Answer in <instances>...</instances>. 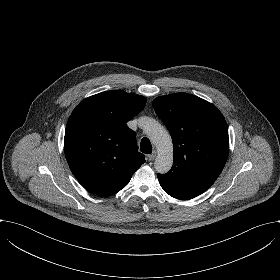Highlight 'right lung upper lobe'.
<instances>
[{"mask_svg":"<svg viewBox=\"0 0 280 280\" xmlns=\"http://www.w3.org/2000/svg\"><path fill=\"white\" fill-rule=\"evenodd\" d=\"M145 104L143 96L106 91L84 99L73 110L65 130V156L89 192L117 193L145 162L137 150L135 132L126 125Z\"/></svg>","mask_w":280,"mask_h":280,"instance_id":"1","label":"right lung upper lobe"}]
</instances>
